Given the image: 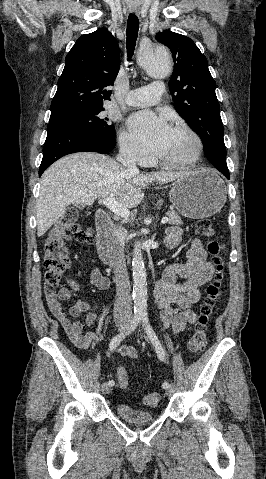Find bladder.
<instances>
[{
  "mask_svg": "<svg viewBox=\"0 0 266 479\" xmlns=\"http://www.w3.org/2000/svg\"><path fill=\"white\" fill-rule=\"evenodd\" d=\"M118 416L128 423H148L154 420V413L137 409L126 402H119L116 405Z\"/></svg>",
  "mask_w": 266,
  "mask_h": 479,
  "instance_id": "obj_1",
  "label": "bladder"
}]
</instances>
